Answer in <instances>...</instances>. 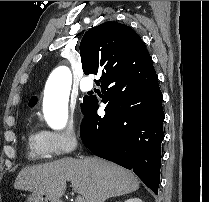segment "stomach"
I'll return each mask as SVG.
<instances>
[{"label":"stomach","mask_w":209,"mask_h":202,"mask_svg":"<svg viewBox=\"0 0 209 202\" xmlns=\"http://www.w3.org/2000/svg\"><path fill=\"white\" fill-rule=\"evenodd\" d=\"M27 202H61L59 199L48 197L44 194L31 193L27 197Z\"/></svg>","instance_id":"1"}]
</instances>
